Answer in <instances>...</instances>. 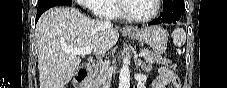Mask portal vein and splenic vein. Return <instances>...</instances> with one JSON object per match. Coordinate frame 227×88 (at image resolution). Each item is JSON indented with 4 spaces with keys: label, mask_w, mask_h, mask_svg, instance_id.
<instances>
[{
    "label": "portal vein and splenic vein",
    "mask_w": 227,
    "mask_h": 88,
    "mask_svg": "<svg viewBox=\"0 0 227 88\" xmlns=\"http://www.w3.org/2000/svg\"><path fill=\"white\" fill-rule=\"evenodd\" d=\"M66 52L75 54V55H86L90 54L92 52V49L90 47H83V48H78V49H65ZM150 52L148 51H142L139 53L140 57H144L149 55Z\"/></svg>",
    "instance_id": "1"
}]
</instances>
